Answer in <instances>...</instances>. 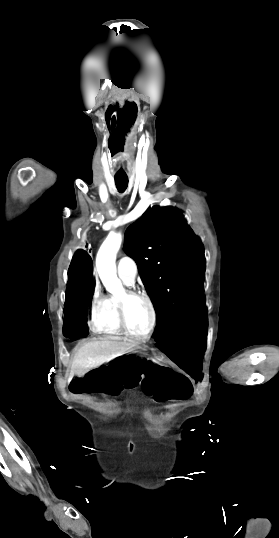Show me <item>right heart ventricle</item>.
Returning <instances> with one entry per match:
<instances>
[{"instance_id":"1","label":"right heart ventricle","mask_w":279,"mask_h":538,"mask_svg":"<svg viewBox=\"0 0 279 538\" xmlns=\"http://www.w3.org/2000/svg\"><path fill=\"white\" fill-rule=\"evenodd\" d=\"M109 236L114 237L117 242L121 240V232L112 231ZM119 276L120 281L125 285H131L122 276ZM119 295H104L97 304H93L92 327L96 332L121 335L124 334L120 326L117 306ZM97 311V312H96Z\"/></svg>"}]
</instances>
